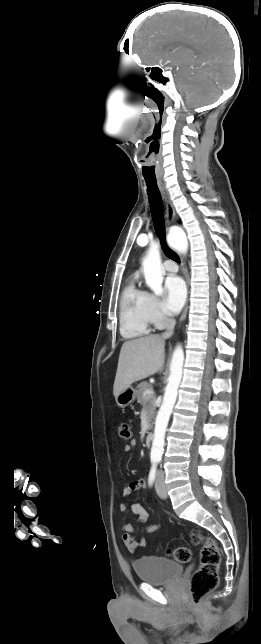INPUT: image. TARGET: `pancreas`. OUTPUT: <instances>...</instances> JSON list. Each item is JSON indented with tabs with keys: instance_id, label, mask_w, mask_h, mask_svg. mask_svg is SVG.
<instances>
[{
	"instance_id": "cf45deb5",
	"label": "pancreas",
	"mask_w": 261,
	"mask_h": 644,
	"mask_svg": "<svg viewBox=\"0 0 261 644\" xmlns=\"http://www.w3.org/2000/svg\"><path fill=\"white\" fill-rule=\"evenodd\" d=\"M147 389H152L151 384H149L147 382H141L138 385V390L136 391V396H137L138 403H140L141 405H144L146 407L147 418H148V427L151 428L152 427V420L154 419L155 410H156V405H155L156 397H155L154 394H152V395H150L148 397H144L143 393Z\"/></svg>"
}]
</instances>
